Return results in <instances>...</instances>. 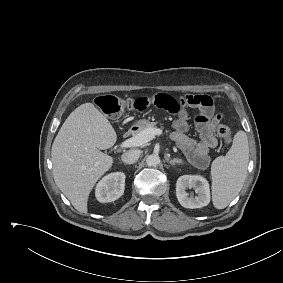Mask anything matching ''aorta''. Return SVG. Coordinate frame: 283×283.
Masks as SVG:
<instances>
[{"instance_id": "1", "label": "aorta", "mask_w": 283, "mask_h": 283, "mask_svg": "<svg viewBox=\"0 0 283 283\" xmlns=\"http://www.w3.org/2000/svg\"><path fill=\"white\" fill-rule=\"evenodd\" d=\"M146 164L148 166H157L160 164V157L156 154H151L146 158Z\"/></svg>"}]
</instances>
